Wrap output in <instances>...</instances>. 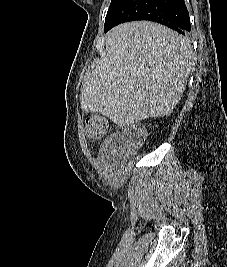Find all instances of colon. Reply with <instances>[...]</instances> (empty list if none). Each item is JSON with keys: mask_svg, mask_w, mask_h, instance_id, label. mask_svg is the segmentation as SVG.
I'll return each instance as SVG.
<instances>
[{"mask_svg": "<svg viewBox=\"0 0 227 267\" xmlns=\"http://www.w3.org/2000/svg\"><path fill=\"white\" fill-rule=\"evenodd\" d=\"M108 131L107 120L101 115L88 117L84 124L85 135L93 140L105 137ZM146 130L142 127L131 126L120 137L127 150H137L146 140Z\"/></svg>", "mask_w": 227, "mask_h": 267, "instance_id": "obj_1", "label": "colon"}]
</instances>
